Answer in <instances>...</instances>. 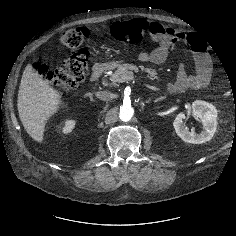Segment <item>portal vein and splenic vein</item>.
<instances>
[{"label": "portal vein and splenic vein", "mask_w": 236, "mask_h": 236, "mask_svg": "<svg viewBox=\"0 0 236 236\" xmlns=\"http://www.w3.org/2000/svg\"><path fill=\"white\" fill-rule=\"evenodd\" d=\"M129 80H134V77L133 76H126V77H122L119 82H124V81H129ZM145 86L151 90H154V91H159L158 88H156L155 86H151V85H148V84H145Z\"/></svg>", "instance_id": "portal-vein-and-splenic-vein-1"}]
</instances>
